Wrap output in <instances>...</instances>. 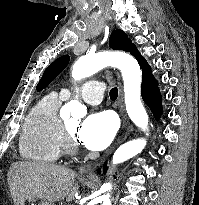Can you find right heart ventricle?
I'll use <instances>...</instances> for the list:
<instances>
[{"label":"right heart ventricle","instance_id":"e07e8e85","mask_svg":"<svg viewBox=\"0 0 199 205\" xmlns=\"http://www.w3.org/2000/svg\"><path fill=\"white\" fill-rule=\"evenodd\" d=\"M62 100V96L50 93L27 115L19 141V151L24 159L52 164L60 158L62 121L58 108Z\"/></svg>","mask_w":199,"mask_h":205}]
</instances>
